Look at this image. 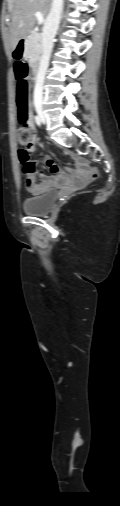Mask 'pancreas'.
Returning <instances> with one entry per match:
<instances>
[{"label": "pancreas", "instance_id": "cf45deb5", "mask_svg": "<svg viewBox=\"0 0 120 506\" xmlns=\"http://www.w3.org/2000/svg\"><path fill=\"white\" fill-rule=\"evenodd\" d=\"M42 54V38L38 33H31L27 39L24 51L25 59L31 63H35L40 60Z\"/></svg>", "mask_w": 120, "mask_h": 506}]
</instances>
